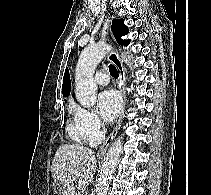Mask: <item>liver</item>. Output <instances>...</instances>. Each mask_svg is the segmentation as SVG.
I'll use <instances>...</instances> for the list:
<instances>
[{
  "instance_id": "obj_1",
  "label": "liver",
  "mask_w": 211,
  "mask_h": 195,
  "mask_svg": "<svg viewBox=\"0 0 211 195\" xmlns=\"http://www.w3.org/2000/svg\"><path fill=\"white\" fill-rule=\"evenodd\" d=\"M96 171V157L94 152L76 144H63L55 153L52 161V178L61 185L60 195H74L76 178L79 172L78 188L89 185Z\"/></svg>"
}]
</instances>
